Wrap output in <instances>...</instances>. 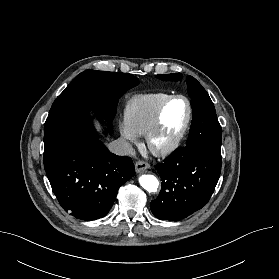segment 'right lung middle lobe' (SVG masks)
<instances>
[{
    "label": "right lung middle lobe",
    "mask_w": 279,
    "mask_h": 279,
    "mask_svg": "<svg viewBox=\"0 0 279 279\" xmlns=\"http://www.w3.org/2000/svg\"><path fill=\"white\" fill-rule=\"evenodd\" d=\"M139 84L131 74L86 70L80 73L54 101L44 125V167L70 143L85 125L91 122L89 113L104 118L110 125L119 98Z\"/></svg>",
    "instance_id": "dd1d6c3e"
}]
</instances>
